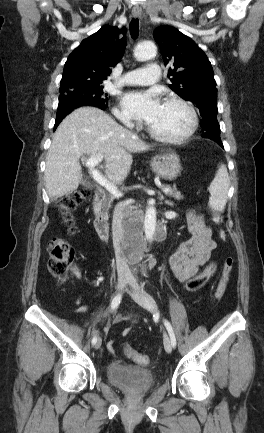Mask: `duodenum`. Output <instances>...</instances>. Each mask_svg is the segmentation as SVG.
<instances>
[{"label":"duodenum","instance_id":"obj_1","mask_svg":"<svg viewBox=\"0 0 264 433\" xmlns=\"http://www.w3.org/2000/svg\"><path fill=\"white\" fill-rule=\"evenodd\" d=\"M104 193L102 191H95L91 202V215L94 228L97 234L103 240H107L110 236V225L108 220L100 211V204L104 200Z\"/></svg>","mask_w":264,"mask_h":433}]
</instances>
